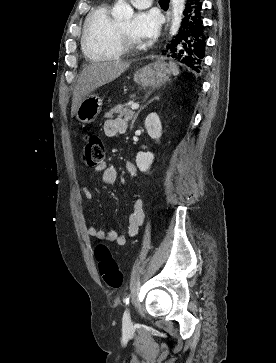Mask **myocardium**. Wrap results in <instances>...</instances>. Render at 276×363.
I'll list each match as a JSON object with an SVG mask.
<instances>
[{
  "label": "myocardium",
  "mask_w": 276,
  "mask_h": 363,
  "mask_svg": "<svg viewBox=\"0 0 276 363\" xmlns=\"http://www.w3.org/2000/svg\"><path fill=\"white\" fill-rule=\"evenodd\" d=\"M115 39L119 49L122 53L133 52L139 49V44L131 41L123 32L119 24H116Z\"/></svg>",
  "instance_id": "f54148a6"
}]
</instances>
